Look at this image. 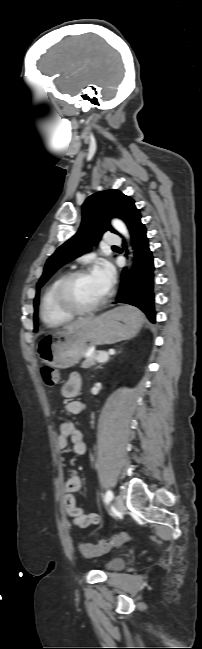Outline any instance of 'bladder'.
<instances>
[{"label": "bladder", "instance_id": "1", "mask_svg": "<svg viewBox=\"0 0 202 649\" xmlns=\"http://www.w3.org/2000/svg\"><path fill=\"white\" fill-rule=\"evenodd\" d=\"M124 566H125V561L123 559L114 558L105 564L104 570L111 571V572L120 571L124 568Z\"/></svg>", "mask_w": 202, "mask_h": 649}]
</instances>
